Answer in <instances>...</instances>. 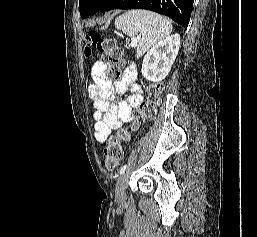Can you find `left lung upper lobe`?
I'll list each match as a JSON object with an SVG mask.
<instances>
[{
	"label": "left lung upper lobe",
	"instance_id": "left-lung-upper-lobe-1",
	"mask_svg": "<svg viewBox=\"0 0 257 237\" xmlns=\"http://www.w3.org/2000/svg\"><path fill=\"white\" fill-rule=\"evenodd\" d=\"M109 0H79V11L82 18H88L100 11Z\"/></svg>",
	"mask_w": 257,
	"mask_h": 237
}]
</instances>
